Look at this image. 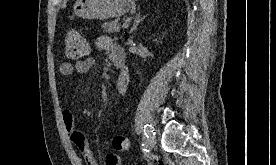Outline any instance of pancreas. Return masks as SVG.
Returning <instances> with one entry per match:
<instances>
[{
    "instance_id": "cf45deb5",
    "label": "pancreas",
    "mask_w": 276,
    "mask_h": 165,
    "mask_svg": "<svg viewBox=\"0 0 276 165\" xmlns=\"http://www.w3.org/2000/svg\"><path fill=\"white\" fill-rule=\"evenodd\" d=\"M101 27L108 33L120 31V24L118 23V21L105 22Z\"/></svg>"
}]
</instances>
